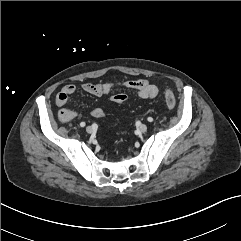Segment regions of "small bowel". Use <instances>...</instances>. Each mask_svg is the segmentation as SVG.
Returning <instances> with one entry per match:
<instances>
[{
    "label": "small bowel",
    "instance_id": "obj_1",
    "mask_svg": "<svg viewBox=\"0 0 241 241\" xmlns=\"http://www.w3.org/2000/svg\"><path fill=\"white\" fill-rule=\"evenodd\" d=\"M124 87L133 90L142 99H153L158 94V87L152 84L147 79H138L126 81L122 83H92L86 82L82 84V90L88 94L101 97L112 93L116 88ZM77 88L74 84H67L62 87L56 95L55 103L60 108L58 111V118L63 123H68L77 117V113L69 109L68 103L70 97L76 92ZM94 118H102L104 111L100 107H96L91 111Z\"/></svg>",
    "mask_w": 241,
    "mask_h": 241
}]
</instances>
